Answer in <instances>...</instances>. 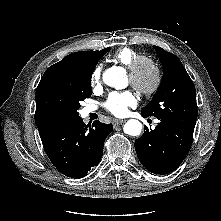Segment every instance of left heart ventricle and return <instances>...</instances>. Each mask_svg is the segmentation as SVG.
<instances>
[{"label": "left heart ventricle", "mask_w": 221, "mask_h": 221, "mask_svg": "<svg viewBox=\"0 0 221 221\" xmlns=\"http://www.w3.org/2000/svg\"><path fill=\"white\" fill-rule=\"evenodd\" d=\"M153 79V73L150 68L143 67L140 71V81L143 85H148Z\"/></svg>", "instance_id": "1"}]
</instances>
